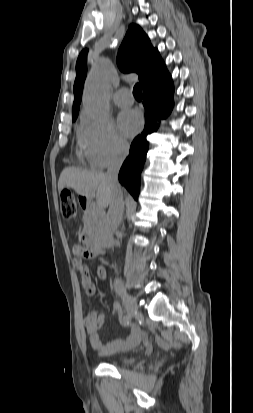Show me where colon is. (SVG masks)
Wrapping results in <instances>:
<instances>
[{
	"label": "colon",
	"mask_w": 253,
	"mask_h": 413,
	"mask_svg": "<svg viewBox=\"0 0 253 413\" xmlns=\"http://www.w3.org/2000/svg\"><path fill=\"white\" fill-rule=\"evenodd\" d=\"M61 213L65 219L75 218L78 214L76 200L69 192L61 194Z\"/></svg>",
	"instance_id": "colon-1"
}]
</instances>
